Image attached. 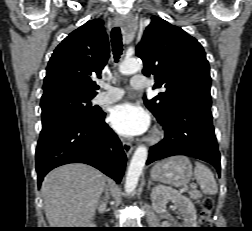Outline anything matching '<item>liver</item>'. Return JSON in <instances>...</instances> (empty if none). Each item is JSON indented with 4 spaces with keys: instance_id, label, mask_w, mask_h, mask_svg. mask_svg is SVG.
Instances as JSON below:
<instances>
[{
    "instance_id": "1",
    "label": "liver",
    "mask_w": 252,
    "mask_h": 231,
    "mask_svg": "<svg viewBox=\"0 0 252 231\" xmlns=\"http://www.w3.org/2000/svg\"><path fill=\"white\" fill-rule=\"evenodd\" d=\"M105 186V176L85 164H68L48 173L41 193L50 228L90 226Z\"/></svg>"
}]
</instances>
